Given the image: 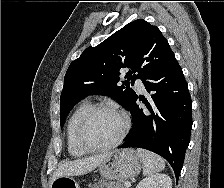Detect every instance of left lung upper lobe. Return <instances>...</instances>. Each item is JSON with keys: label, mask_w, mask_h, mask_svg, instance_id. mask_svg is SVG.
<instances>
[{"label": "left lung upper lobe", "mask_w": 224, "mask_h": 188, "mask_svg": "<svg viewBox=\"0 0 224 188\" xmlns=\"http://www.w3.org/2000/svg\"><path fill=\"white\" fill-rule=\"evenodd\" d=\"M174 56L157 26L135 20L96 47H88L74 60L65 75L60 98V123L81 99L108 95L130 110L137 94L130 88L135 79L144 81ZM128 68L120 84L119 70Z\"/></svg>", "instance_id": "obj_1"}]
</instances>
